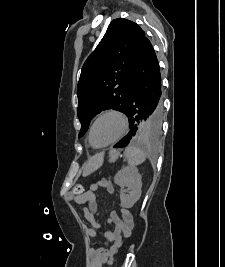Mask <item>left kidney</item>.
<instances>
[{"instance_id":"left-kidney-1","label":"left kidney","mask_w":225,"mask_h":267,"mask_svg":"<svg viewBox=\"0 0 225 267\" xmlns=\"http://www.w3.org/2000/svg\"><path fill=\"white\" fill-rule=\"evenodd\" d=\"M115 184L122 189L127 187L129 194H125L124 190L120 192V206L123 208H131L141 196L142 181L138 169L135 167H123L114 177Z\"/></svg>"}]
</instances>
